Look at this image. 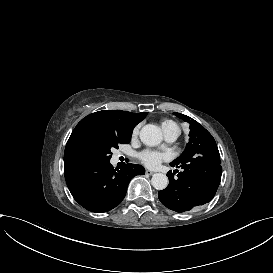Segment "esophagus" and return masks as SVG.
Listing matches in <instances>:
<instances>
[{"label":"esophagus","instance_id":"1","mask_svg":"<svg viewBox=\"0 0 273 273\" xmlns=\"http://www.w3.org/2000/svg\"><path fill=\"white\" fill-rule=\"evenodd\" d=\"M145 173H146L147 175H153V174H154V172L151 171V170H149V169H146Z\"/></svg>","mask_w":273,"mask_h":273}]
</instances>
